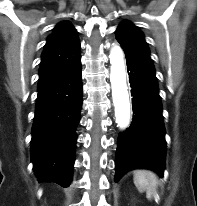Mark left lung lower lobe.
Masks as SVG:
<instances>
[{
	"mask_svg": "<svg viewBox=\"0 0 197 206\" xmlns=\"http://www.w3.org/2000/svg\"><path fill=\"white\" fill-rule=\"evenodd\" d=\"M133 120L117 141L116 178L137 168L151 169L160 176L165 169V128L157 78L126 56Z\"/></svg>",
	"mask_w": 197,
	"mask_h": 206,
	"instance_id": "0a47b994",
	"label": "left lung lower lobe"
}]
</instances>
